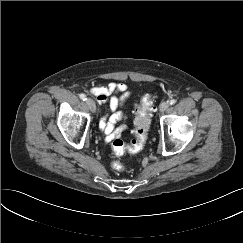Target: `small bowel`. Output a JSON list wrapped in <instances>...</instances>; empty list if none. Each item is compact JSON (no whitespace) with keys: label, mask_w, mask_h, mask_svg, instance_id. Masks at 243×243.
I'll list each match as a JSON object with an SVG mask.
<instances>
[{"label":"small bowel","mask_w":243,"mask_h":243,"mask_svg":"<svg viewBox=\"0 0 243 243\" xmlns=\"http://www.w3.org/2000/svg\"><path fill=\"white\" fill-rule=\"evenodd\" d=\"M91 93L96 97L99 104L107 103L112 113L110 117L105 116L100 121V128L105 135V140L109 142L119 138L127 128L126 125L115 127L116 122L124 117L120 109L130 95L127 85L120 82H110L106 86L92 88ZM117 93H121V96L117 97L115 95Z\"/></svg>","instance_id":"obj_1"}]
</instances>
